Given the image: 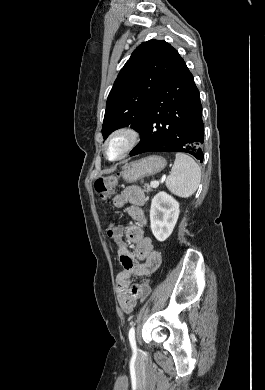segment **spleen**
<instances>
[{
  "label": "spleen",
  "instance_id": "3e777b00",
  "mask_svg": "<svg viewBox=\"0 0 265 390\" xmlns=\"http://www.w3.org/2000/svg\"><path fill=\"white\" fill-rule=\"evenodd\" d=\"M200 179L199 165L190 156L178 153L166 180V186L173 194L188 198L197 190Z\"/></svg>",
  "mask_w": 265,
  "mask_h": 390
}]
</instances>
